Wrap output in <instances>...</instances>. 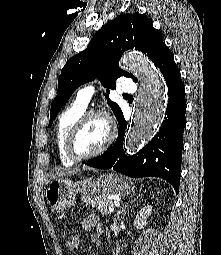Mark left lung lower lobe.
I'll return each mask as SVG.
<instances>
[{
	"label": "left lung lower lobe",
	"mask_w": 221,
	"mask_h": 255,
	"mask_svg": "<svg viewBox=\"0 0 221 255\" xmlns=\"http://www.w3.org/2000/svg\"><path fill=\"white\" fill-rule=\"evenodd\" d=\"M155 66L160 68L168 86V105L164 121L155 137L137 154L126 156L123 140L127 122L123 114L117 119L118 138L104 154L86 165L114 170L134 178L160 177L167 180L179 192L181 176V155L185 128L186 101L180 71L167 46L160 51Z\"/></svg>",
	"instance_id": "0a47b994"
}]
</instances>
